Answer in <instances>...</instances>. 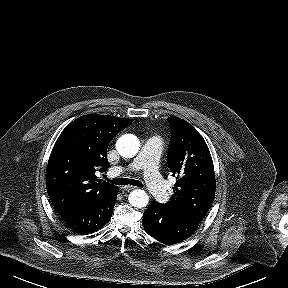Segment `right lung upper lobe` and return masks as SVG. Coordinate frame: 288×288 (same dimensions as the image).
<instances>
[{"mask_svg": "<svg viewBox=\"0 0 288 288\" xmlns=\"http://www.w3.org/2000/svg\"><path fill=\"white\" fill-rule=\"evenodd\" d=\"M133 119L88 114L71 122L58 137L47 166L46 187L60 213L90 205L118 187L97 179L110 165L107 147Z\"/></svg>", "mask_w": 288, "mask_h": 288, "instance_id": "obj_1", "label": "right lung upper lobe"}]
</instances>
